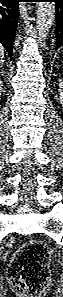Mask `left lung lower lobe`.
<instances>
[{"label": "left lung lower lobe", "mask_w": 63, "mask_h": 297, "mask_svg": "<svg viewBox=\"0 0 63 297\" xmlns=\"http://www.w3.org/2000/svg\"><path fill=\"white\" fill-rule=\"evenodd\" d=\"M56 2V47L63 46V0H49Z\"/></svg>", "instance_id": "0a47b994"}]
</instances>
